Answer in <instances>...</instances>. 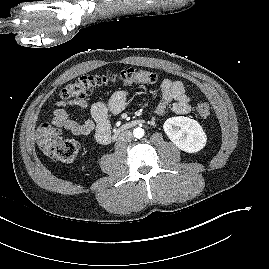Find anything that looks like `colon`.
Listing matches in <instances>:
<instances>
[{"instance_id": "5ec220e1", "label": "colon", "mask_w": 269, "mask_h": 269, "mask_svg": "<svg viewBox=\"0 0 269 269\" xmlns=\"http://www.w3.org/2000/svg\"><path fill=\"white\" fill-rule=\"evenodd\" d=\"M158 80L157 74L134 68L103 75H84L67 84L61 91V98L65 101L82 100L109 84H155ZM195 110L199 117L208 118L211 114V104L208 101L199 102ZM37 141L49 156L59 161H72L78 154V143L73 139L62 137L59 131L48 122H43L38 126Z\"/></svg>"}]
</instances>
